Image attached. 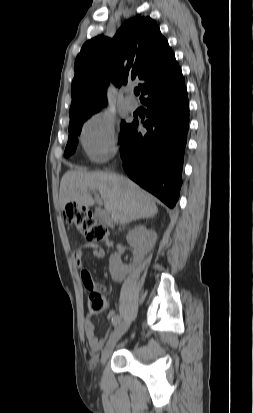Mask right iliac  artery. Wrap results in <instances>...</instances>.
Instances as JSON below:
<instances>
[{
	"mask_svg": "<svg viewBox=\"0 0 253 413\" xmlns=\"http://www.w3.org/2000/svg\"><path fill=\"white\" fill-rule=\"evenodd\" d=\"M120 322H121V318H120V317H117V318L115 319L114 325L117 326V325L120 324Z\"/></svg>",
	"mask_w": 253,
	"mask_h": 413,
	"instance_id": "right-iliac-artery-1",
	"label": "right iliac artery"
}]
</instances>
